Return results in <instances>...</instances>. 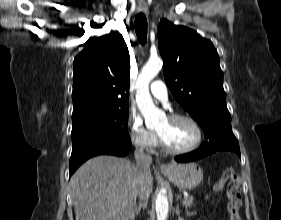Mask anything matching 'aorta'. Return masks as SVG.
<instances>
[{
    "label": "aorta",
    "mask_w": 281,
    "mask_h": 220,
    "mask_svg": "<svg viewBox=\"0 0 281 220\" xmlns=\"http://www.w3.org/2000/svg\"><path fill=\"white\" fill-rule=\"evenodd\" d=\"M162 67L160 58H151L142 68L136 83V103L145 118L148 128L153 127L162 117L163 113L154 105L150 92L149 84L158 74ZM157 220H166L168 216V199L162 192L158 193L155 200Z\"/></svg>",
    "instance_id": "762f6f07"
}]
</instances>
